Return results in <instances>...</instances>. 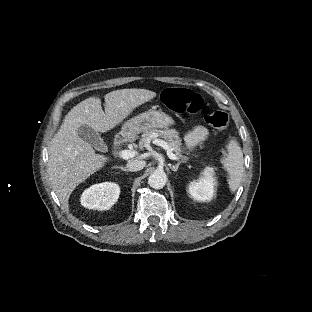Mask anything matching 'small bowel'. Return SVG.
Returning a JSON list of instances; mask_svg holds the SVG:
<instances>
[{
    "label": "small bowel",
    "instance_id": "small-bowel-1",
    "mask_svg": "<svg viewBox=\"0 0 312 312\" xmlns=\"http://www.w3.org/2000/svg\"><path fill=\"white\" fill-rule=\"evenodd\" d=\"M208 129L204 126H196L184 136V144L192 148L203 142L208 137Z\"/></svg>",
    "mask_w": 312,
    "mask_h": 312
}]
</instances>
